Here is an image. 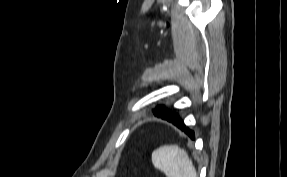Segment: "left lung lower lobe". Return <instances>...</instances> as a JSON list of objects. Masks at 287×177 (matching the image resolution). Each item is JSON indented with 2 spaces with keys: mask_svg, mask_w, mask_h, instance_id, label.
Wrapping results in <instances>:
<instances>
[{
  "mask_svg": "<svg viewBox=\"0 0 287 177\" xmlns=\"http://www.w3.org/2000/svg\"><path fill=\"white\" fill-rule=\"evenodd\" d=\"M161 118L173 123L175 126H177L182 131H184L191 139H195L194 132L191 131L188 127L185 126V124L180 119L178 114H173V115H170V116H164V117H161Z\"/></svg>",
  "mask_w": 287,
  "mask_h": 177,
  "instance_id": "0a47b994",
  "label": "left lung lower lobe"
}]
</instances>
